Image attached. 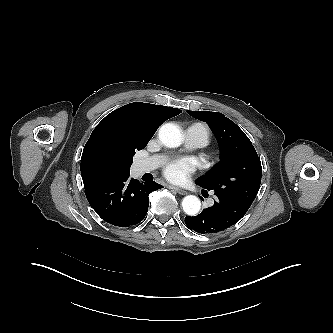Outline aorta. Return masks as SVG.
<instances>
[{"instance_id": "1", "label": "aorta", "mask_w": 333, "mask_h": 333, "mask_svg": "<svg viewBox=\"0 0 333 333\" xmlns=\"http://www.w3.org/2000/svg\"><path fill=\"white\" fill-rule=\"evenodd\" d=\"M159 139L165 146L175 148L181 145L183 136L177 125L166 123L159 129ZM182 207L187 215L194 216L200 211L201 202L198 197L188 195L184 197Z\"/></svg>"}]
</instances>
